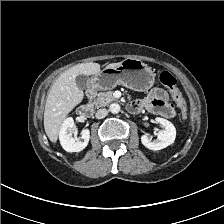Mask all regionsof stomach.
Instances as JSON below:
<instances>
[{
    "instance_id": "stomach-1",
    "label": "stomach",
    "mask_w": 224,
    "mask_h": 224,
    "mask_svg": "<svg viewBox=\"0 0 224 224\" xmlns=\"http://www.w3.org/2000/svg\"><path fill=\"white\" fill-rule=\"evenodd\" d=\"M155 82V73L139 59L127 58L116 67H104L91 78L95 90H108L122 85L135 91L149 90Z\"/></svg>"
}]
</instances>
